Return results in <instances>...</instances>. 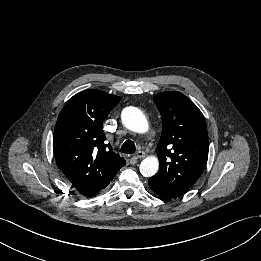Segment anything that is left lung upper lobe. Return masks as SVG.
I'll return each mask as SVG.
<instances>
[{
    "instance_id": "1",
    "label": "left lung upper lobe",
    "mask_w": 261,
    "mask_h": 261,
    "mask_svg": "<svg viewBox=\"0 0 261 261\" xmlns=\"http://www.w3.org/2000/svg\"><path fill=\"white\" fill-rule=\"evenodd\" d=\"M154 102L161 113L162 135L156 148L160 168L151 178L180 196L193 186L206 166V121L198 107L180 92L159 93Z\"/></svg>"
}]
</instances>
